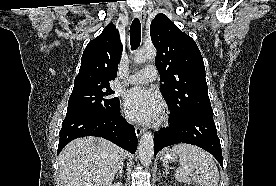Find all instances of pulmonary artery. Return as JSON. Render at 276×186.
<instances>
[{
  "mask_svg": "<svg viewBox=\"0 0 276 186\" xmlns=\"http://www.w3.org/2000/svg\"><path fill=\"white\" fill-rule=\"evenodd\" d=\"M158 71L155 66H147L143 70L138 71L128 77L127 82L129 84H143L148 83L156 79Z\"/></svg>",
  "mask_w": 276,
  "mask_h": 186,
  "instance_id": "obj_1",
  "label": "pulmonary artery"
}]
</instances>
